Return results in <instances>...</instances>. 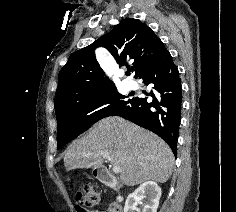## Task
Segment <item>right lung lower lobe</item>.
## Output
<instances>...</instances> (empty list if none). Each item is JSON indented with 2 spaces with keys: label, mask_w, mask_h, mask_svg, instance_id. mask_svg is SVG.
Listing matches in <instances>:
<instances>
[{
  "label": "right lung lower lobe",
  "mask_w": 236,
  "mask_h": 212,
  "mask_svg": "<svg viewBox=\"0 0 236 212\" xmlns=\"http://www.w3.org/2000/svg\"><path fill=\"white\" fill-rule=\"evenodd\" d=\"M145 85L152 84V102L135 97L113 115L123 117L160 136L176 156L181 121L182 88L177 66L165 46L139 76Z\"/></svg>",
  "instance_id": "98d812e1"
}]
</instances>
